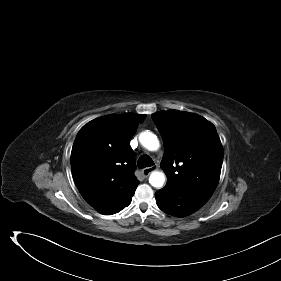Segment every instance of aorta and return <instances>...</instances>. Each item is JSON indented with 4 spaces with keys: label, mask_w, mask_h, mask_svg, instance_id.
<instances>
[{
    "label": "aorta",
    "mask_w": 281,
    "mask_h": 281,
    "mask_svg": "<svg viewBox=\"0 0 281 281\" xmlns=\"http://www.w3.org/2000/svg\"><path fill=\"white\" fill-rule=\"evenodd\" d=\"M139 141L149 151H156L160 146L157 136L150 131L142 132ZM165 180L166 176L162 171H153L149 176V183L155 188H162Z\"/></svg>",
    "instance_id": "1"
}]
</instances>
